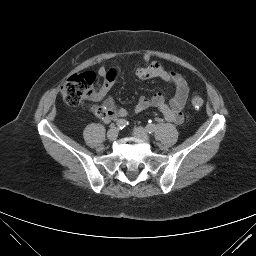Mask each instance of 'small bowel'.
<instances>
[{
  "mask_svg": "<svg viewBox=\"0 0 256 256\" xmlns=\"http://www.w3.org/2000/svg\"><path fill=\"white\" fill-rule=\"evenodd\" d=\"M142 58L144 64L136 69V77L140 80L160 78L170 82L174 87V95L169 103L166 102L164 95L159 92L152 96L141 95L133 108L134 113H141L154 107L165 120L181 124L184 120V109L189 95V87L185 78L179 72L167 69L160 61L152 60L148 53L143 54ZM98 74L103 79V83L99 91L91 96V99L95 102H102L105 111L104 121L108 122L118 117H126L128 111L125 108L118 107L109 96V92L119 75V70L101 66L98 69Z\"/></svg>",
  "mask_w": 256,
  "mask_h": 256,
  "instance_id": "1",
  "label": "small bowel"
}]
</instances>
